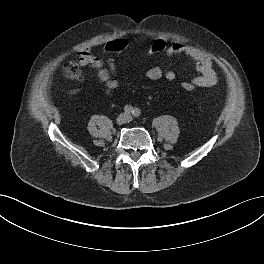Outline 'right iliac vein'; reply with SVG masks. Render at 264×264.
I'll use <instances>...</instances> for the list:
<instances>
[{
	"mask_svg": "<svg viewBox=\"0 0 264 264\" xmlns=\"http://www.w3.org/2000/svg\"><path fill=\"white\" fill-rule=\"evenodd\" d=\"M126 119H127L126 115L125 114H121V115H119L117 117V120L116 121H117V123L119 125H121V124H123L126 121Z\"/></svg>",
	"mask_w": 264,
	"mask_h": 264,
	"instance_id": "obj_1",
	"label": "right iliac vein"
}]
</instances>
